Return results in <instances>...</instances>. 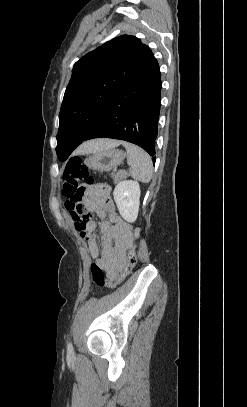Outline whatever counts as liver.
Instances as JSON below:
<instances>
[{
    "label": "liver",
    "mask_w": 247,
    "mask_h": 407,
    "mask_svg": "<svg viewBox=\"0 0 247 407\" xmlns=\"http://www.w3.org/2000/svg\"><path fill=\"white\" fill-rule=\"evenodd\" d=\"M120 140L97 139L83 143L76 151V154H90L103 149H110L119 146Z\"/></svg>",
    "instance_id": "1"
}]
</instances>
